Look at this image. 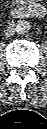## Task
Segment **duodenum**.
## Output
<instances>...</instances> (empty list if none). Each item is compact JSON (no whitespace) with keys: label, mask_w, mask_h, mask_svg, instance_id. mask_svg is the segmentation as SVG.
I'll list each match as a JSON object with an SVG mask.
<instances>
[{"label":"duodenum","mask_w":47,"mask_h":129,"mask_svg":"<svg viewBox=\"0 0 47 129\" xmlns=\"http://www.w3.org/2000/svg\"><path fill=\"white\" fill-rule=\"evenodd\" d=\"M44 14V8L33 2L18 5L12 9V15L16 18H27L32 16L41 17Z\"/></svg>","instance_id":"obj_1"}]
</instances>
